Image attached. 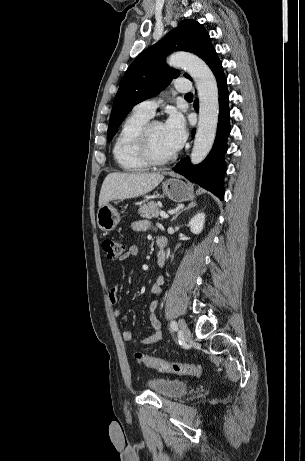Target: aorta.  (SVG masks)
Instances as JSON below:
<instances>
[{"mask_svg": "<svg viewBox=\"0 0 305 461\" xmlns=\"http://www.w3.org/2000/svg\"><path fill=\"white\" fill-rule=\"evenodd\" d=\"M168 63L185 68L197 86L199 121L190 160L199 164L210 152L216 136L219 115L217 82L208 65L195 55L174 53L168 58Z\"/></svg>", "mask_w": 305, "mask_h": 461, "instance_id": "762f6f07", "label": "aorta"}]
</instances>
